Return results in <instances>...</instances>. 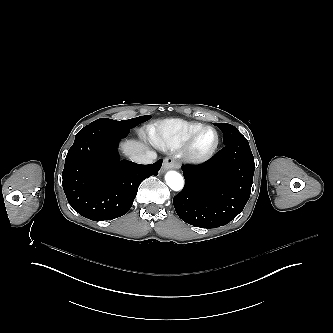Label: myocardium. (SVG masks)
<instances>
[{
	"label": "myocardium",
	"instance_id": "myocardium-1",
	"mask_svg": "<svg viewBox=\"0 0 333 333\" xmlns=\"http://www.w3.org/2000/svg\"><path fill=\"white\" fill-rule=\"evenodd\" d=\"M205 129H211V130L214 131L215 136H216L215 144L206 153L196 154L193 151V143H194L195 139L197 138V136ZM219 144H220V136H219V133L216 130V128L211 126V125H202L201 127L194 130L184 141V143L182 145V151H181L182 158L186 162L192 163V164L206 163L207 161H209L214 156V154L218 150Z\"/></svg>",
	"mask_w": 333,
	"mask_h": 333
}]
</instances>
